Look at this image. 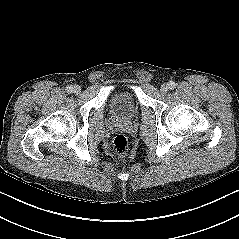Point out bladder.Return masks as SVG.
<instances>
[{"mask_svg": "<svg viewBox=\"0 0 239 239\" xmlns=\"http://www.w3.org/2000/svg\"><path fill=\"white\" fill-rule=\"evenodd\" d=\"M111 112L114 116L129 120L132 119L138 111L136 98L129 92L116 94L110 104Z\"/></svg>", "mask_w": 239, "mask_h": 239, "instance_id": "bladder-1", "label": "bladder"}]
</instances>
